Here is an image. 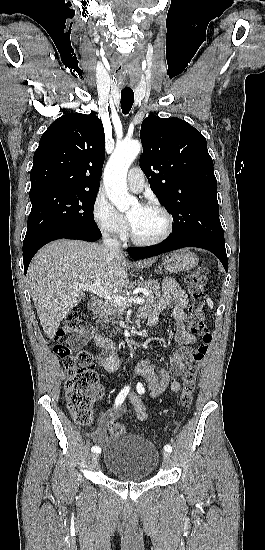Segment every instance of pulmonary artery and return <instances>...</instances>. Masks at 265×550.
<instances>
[{
	"label": "pulmonary artery",
	"mask_w": 265,
	"mask_h": 550,
	"mask_svg": "<svg viewBox=\"0 0 265 550\" xmlns=\"http://www.w3.org/2000/svg\"><path fill=\"white\" fill-rule=\"evenodd\" d=\"M127 185L132 192L139 193L145 187V178L138 167L130 169L127 175Z\"/></svg>",
	"instance_id": "1"
}]
</instances>
